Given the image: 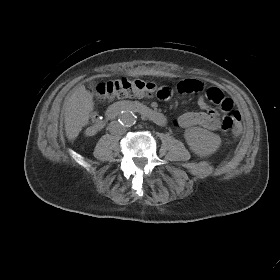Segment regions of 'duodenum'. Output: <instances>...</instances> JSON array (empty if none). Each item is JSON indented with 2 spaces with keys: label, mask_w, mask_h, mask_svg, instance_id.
<instances>
[{
  "label": "duodenum",
  "mask_w": 280,
  "mask_h": 280,
  "mask_svg": "<svg viewBox=\"0 0 280 280\" xmlns=\"http://www.w3.org/2000/svg\"><path fill=\"white\" fill-rule=\"evenodd\" d=\"M126 111L138 113L161 126L166 124V117L161 112L145 106L139 102L116 103L106 110V117L108 119H114L121 113Z\"/></svg>",
  "instance_id": "410a0bca"
}]
</instances>
